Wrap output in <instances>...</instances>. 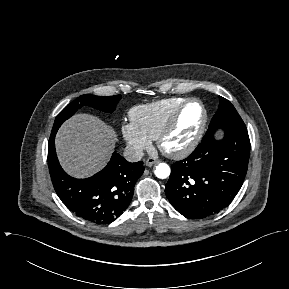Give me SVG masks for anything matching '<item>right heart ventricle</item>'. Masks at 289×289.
<instances>
[{
	"label": "right heart ventricle",
	"instance_id": "e07e8e85",
	"mask_svg": "<svg viewBox=\"0 0 289 289\" xmlns=\"http://www.w3.org/2000/svg\"><path fill=\"white\" fill-rule=\"evenodd\" d=\"M186 99L170 97L136 106L130 111L131 121L149 138L157 139L174 112Z\"/></svg>",
	"mask_w": 289,
	"mask_h": 289
}]
</instances>
